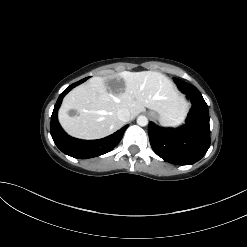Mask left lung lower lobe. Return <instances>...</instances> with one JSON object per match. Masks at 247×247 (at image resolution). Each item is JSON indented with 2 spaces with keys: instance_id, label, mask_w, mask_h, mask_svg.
Masks as SVG:
<instances>
[{
  "instance_id": "1",
  "label": "left lung lower lobe",
  "mask_w": 247,
  "mask_h": 247,
  "mask_svg": "<svg viewBox=\"0 0 247 247\" xmlns=\"http://www.w3.org/2000/svg\"><path fill=\"white\" fill-rule=\"evenodd\" d=\"M174 81L192 103L186 124L171 129L160 128L150 122L149 139L154 152L165 161L190 165L199 161L210 147L208 106L195 86L177 78Z\"/></svg>"
}]
</instances>
